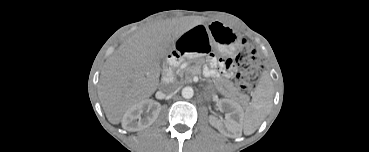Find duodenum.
Listing matches in <instances>:
<instances>
[{
  "label": "duodenum",
  "instance_id": "duodenum-1",
  "mask_svg": "<svg viewBox=\"0 0 369 152\" xmlns=\"http://www.w3.org/2000/svg\"><path fill=\"white\" fill-rule=\"evenodd\" d=\"M178 57V56H177ZM176 57L174 55H171L169 58V65L165 68L163 74H162V82L164 84H169L173 80V67H174V59Z\"/></svg>",
  "mask_w": 369,
  "mask_h": 152
}]
</instances>
